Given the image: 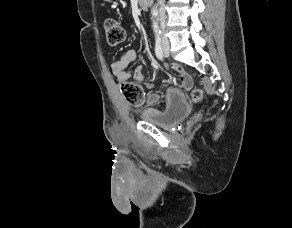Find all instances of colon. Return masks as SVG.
I'll return each instance as SVG.
<instances>
[{"mask_svg": "<svg viewBox=\"0 0 292 228\" xmlns=\"http://www.w3.org/2000/svg\"><path fill=\"white\" fill-rule=\"evenodd\" d=\"M104 32L107 42L110 45H118L125 40V30L121 24L113 19L108 18L104 23ZM120 91L125 100L132 106H138L143 99V91L140 85L131 79L120 81ZM193 101L200 102L203 99V91L199 88L193 89L191 92Z\"/></svg>", "mask_w": 292, "mask_h": 228, "instance_id": "obj_1", "label": "colon"}]
</instances>
